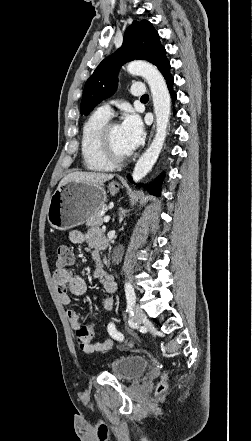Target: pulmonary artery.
Here are the masks:
<instances>
[{
  "instance_id": "pulmonary-artery-1",
  "label": "pulmonary artery",
  "mask_w": 252,
  "mask_h": 441,
  "mask_svg": "<svg viewBox=\"0 0 252 441\" xmlns=\"http://www.w3.org/2000/svg\"><path fill=\"white\" fill-rule=\"evenodd\" d=\"M145 92L146 88L143 84H134L132 85L130 90L131 95L134 97H142L143 95H145ZM98 112L107 117H110L112 115V108L110 105L104 104L98 109Z\"/></svg>"
}]
</instances>
